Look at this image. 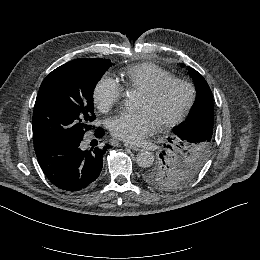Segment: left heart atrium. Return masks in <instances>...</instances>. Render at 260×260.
Returning <instances> with one entry per match:
<instances>
[{
	"mask_svg": "<svg viewBox=\"0 0 260 260\" xmlns=\"http://www.w3.org/2000/svg\"><path fill=\"white\" fill-rule=\"evenodd\" d=\"M156 125L150 113L143 109L137 113H122L110 124L111 133L128 143H138L155 131Z\"/></svg>",
	"mask_w": 260,
	"mask_h": 260,
	"instance_id": "39dd6f15",
	"label": "left heart atrium"
}]
</instances>
